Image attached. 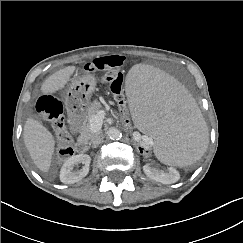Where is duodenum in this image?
Returning <instances> with one entry per match:
<instances>
[{"label": "duodenum", "instance_id": "1", "mask_svg": "<svg viewBox=\"0 0 243 243\" xmlns=\"http://www.w3.org/2000/svg\"><path fill=\"white\" fill-rule=\"evenodd\" d=\"M88 145V141L85 138H80L77 142V149L79 150V152H83L86 150Z\"/></svg>", "mask_w": 243, "mask_h": 243}]
</instances>
